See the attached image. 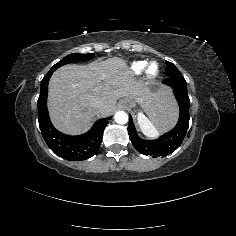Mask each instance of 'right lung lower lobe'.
Instances as JSON below:
<instances>
[{"mask_svg":"<svg viewBox=\"0 0 236 236\" xmlns=\"http://www.w3.org/2000/svg\"><path fill=\"white\" fill-rule=\"evenodd\" d=\"M54 71L51 69L41 81L40 96L37 101L38 121L42 136L49 148L63 159L86 160L98 151L104 128L110 118L98 120L87 133L79 136H69L55 129L47 110L48 82Z\"/></svg>","mask_w":236,"mask_h":236,"instance_id":"98d812e1","label":"right lung lower lobe"}]
</instances>
